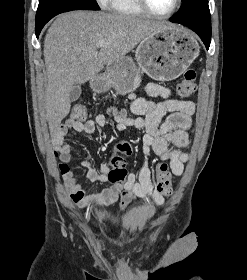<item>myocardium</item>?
<instances>
[{
	"instance_id": "obj_1",
	"label": "myocardium",
	"mask_w": 247,
	"mask_h": 280,
	"mask_svg": "<svg viewBox=\"0 0 247 280\" xmlns=\"http://www.w3.org/2000/svg\"><path fill=\"white\" fill-rule=\"evenodd\" d=\"M136 1L144 13H146L152 17L162 18V19L169 18L172 15H174L178 11V9L180 8L181 3H182V0H175L173 8L170 11L162 14V13H157L154 10H152L146 0H136Z\"/></svg>"
}]
</instances>
